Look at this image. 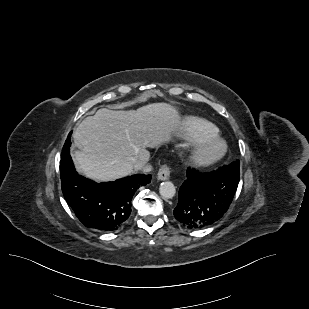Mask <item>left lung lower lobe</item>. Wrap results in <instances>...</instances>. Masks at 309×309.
<instances>
[{
  "label": "left lung lower lobe",
  "instance_id": "1",
  "mask_svg": "<svg viewBox=\"0 0 309 309\" xmlns=\"http://www.w3.org/2000/svg\"><path fill=\"white\" fill-rule=\"evenodd\" d=\"M240 172L229 165L209 173L187 169V179L179 190L173 213L186 228L202 229L213 225L228 210L239 183Z\"/></svg>",
  "mask_w": 309,
  "mask_h": 309
}]
</instances>
